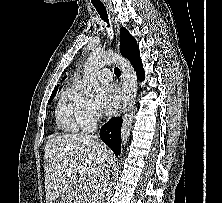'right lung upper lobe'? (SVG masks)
<instances>
[{"label":"right lung upper lobe","instance_id":"right-lung-upper-lobe-1","mask_svg":"<svg viewBox=\"0 0 222 203\" xmlns=\"http://www.w3.org/2000/svg\"><path fill=\"white\" fill-rule=\"evenodd\" d=\"M64 79H65V78H63V80H64ZM63 80H62V81H63ZM57 89H58V85L55 87L54 91H57ZM54 91H53V92H54Z\"/></svg>","mask_w":222,"mask_h":203}]
</instances>
